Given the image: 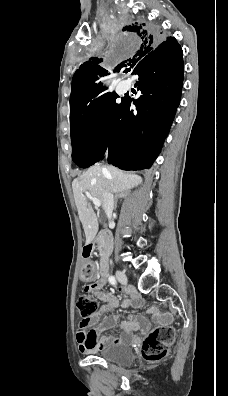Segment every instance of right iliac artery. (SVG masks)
Wrapping results in <instances>:
<instances>
[{"label": "right iliac artery", "mask_w": 228, "mask_h": 396, "mask_svg": "<svg viewBox=\"0 0 228 396\" xmlns=\"http://www.w3.org/2000/svg\"><path fill=\"white\" fill-rule=\"evenodd\" d=\"M109 282H110L112 285H116V283H117L114 276H109Z\"/></svg>", "instance_id": "82829eb1"}]
</instances>
